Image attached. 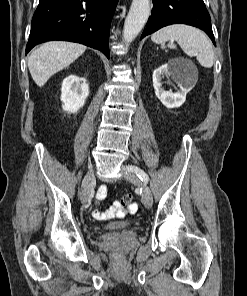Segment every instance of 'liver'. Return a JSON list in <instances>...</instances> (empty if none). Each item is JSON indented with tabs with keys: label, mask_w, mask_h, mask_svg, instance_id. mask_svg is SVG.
Segmentation results:
<instances>
[{
	"label": "liver",
	"mask_w": 247,
	"mask_h": 296,
	"mask_svg": "<svg viewBox=\"0 0 247 296\" xmlns=\"http://www.w3.org/2000/svg\"><path fill=\"white\" fill-rule=\"evenodd\" d=\"M86 46L65 41H50L35 49L28 58L34 82L42 87L49 78L80 57Z\"/></svg>",
	"instance_id": "obj_1"
}]
</instances>
